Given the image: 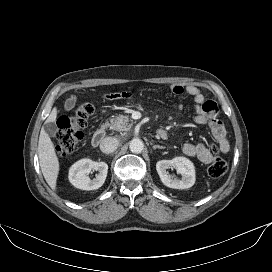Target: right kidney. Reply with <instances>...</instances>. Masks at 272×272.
Instances as JSON below:
<instances>
[{
    "instance_id": "obj_1",
    "label": "right kidney",
    "mask_w": 272,
    "mask_h": 272,
    "mask_svg": "<svg viewBox=\"0 0 272 272\" xmlns=\"http://www.w3.org/2000/svg\"><path fill=\"white\" fill-rule=\"evenodd\" d=\"M98 171L94 179L87 175L91 171ZM108 165L105 162H95L91 159H81L74 163L69 170V181L81 190H96L100 188L107 177Z\"/></svg>"
}]
</instances>
